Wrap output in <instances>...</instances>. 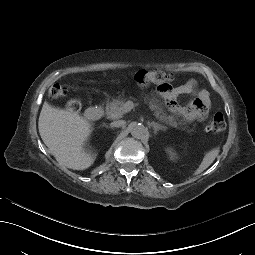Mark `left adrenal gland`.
<instances>
[{
	"mask_svg": "<svg viewBox=\"0 0 255 255\" xmlns=\"http://www.w3.org/2000/svg\"><path fill=\"white\" fill-rule=\"evenodd\" d=\"M151 126L154 128V134H157L158 130H166L165 127L155 123V122H151Z\"/></svg>",
	"mask_w": 255,
	"mask_h": 255,
	"instance_id": "left-adrenal-gland-1",
	"label": "left adrenal gland"
}]
</instances>
